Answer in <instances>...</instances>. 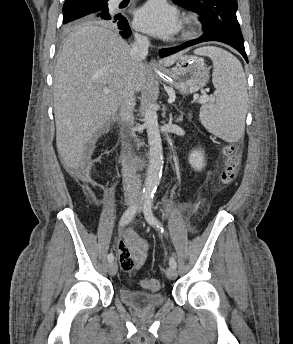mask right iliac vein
I'll list each match as a JSON object with an SVG mask.
<instances>
[{
    "instance_id": "63e3f726",
    "label": "right iliac vein",
    "mask_w": 293,
    "mask_h": 344,
    "mask_svg": "<svg viewBox=\"0 0 293 344\" xmlns=\"http://www.w3.org/2000/svg\"><path fill=\"white\" fill-rule=\"evenodd\" d=\"M134 204L133 201H128L127 205L128 206H132ZM118 266L116 262H110L109 266H108V272L111 276H114L117 272Z\"/></svg>"
}]
</instances>
